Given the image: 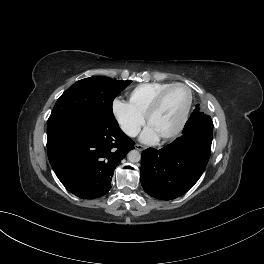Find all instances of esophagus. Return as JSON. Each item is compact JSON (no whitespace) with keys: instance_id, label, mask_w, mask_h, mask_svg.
Returning a JSON list of instances; mask_svg holds the SVG:
<instances>
[{"instance_id":"34e87169","label":"esophagus","mask_w":264,"mask_h":264,"mask_svg":"<svg viewBox=\"0 0 264 264\" xmlns=\"http://www.w3.org/2000/svg\"><path fill=\"white\" fill-rule=\"evenodd\" d=\"M135 149H137L138 151H143L145 147L141 144H135Z\"/></svg>"}]
</instances>
